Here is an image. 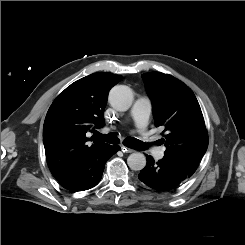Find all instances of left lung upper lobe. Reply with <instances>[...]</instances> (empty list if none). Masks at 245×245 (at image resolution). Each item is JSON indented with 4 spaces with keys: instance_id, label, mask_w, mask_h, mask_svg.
<instances>
[{
    "instance_id": "1",
    "label": "left lung upper lobe",
    "mask_w": 245,
    "mask_h": 245,
    "mask_svg": "<svg viewBox=\"0 0 245 245\" xmlns=\"http://www.w3.org/2000/svg\"><path fill=\"white\" fill-rule=\"evenodd\" d=\"M153 101L155 126L166 131L165 155L199 166L208 147V133L193 91L171 75L150 72L142 75Z\"/></svg>"
}]
</instances>
